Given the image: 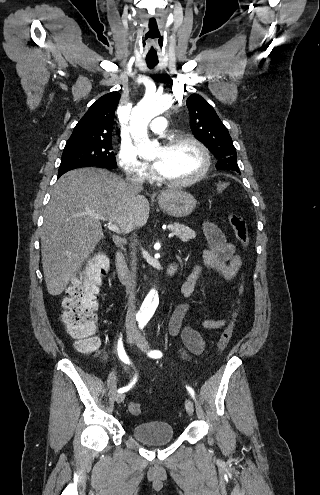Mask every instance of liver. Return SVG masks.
I'll return each mask as SVG.
<instances>
[{
  "label": "liver",
  "mask_w": 320,
  "mask_h": 495,
  "mask_svg": "<svg viewBox=\"0 0 320 495\" xmlns=\"http://www.w3.org/2000/svg\"><path fill=\"white\" fill-rule=\"evenodd\" d=\"M169 192V191H166ZM148 200L126 182L99 168L63 174L53 187L41 233L42 266L50 295L61 294L103 238L96 213L130 233L147 223Z\"/></svg>",
  "instance_id": "1"
}]
</instances>
